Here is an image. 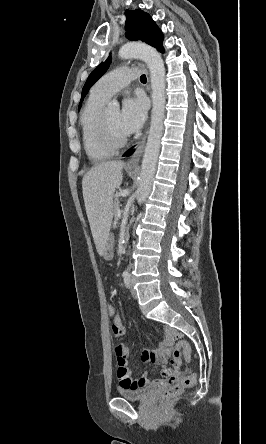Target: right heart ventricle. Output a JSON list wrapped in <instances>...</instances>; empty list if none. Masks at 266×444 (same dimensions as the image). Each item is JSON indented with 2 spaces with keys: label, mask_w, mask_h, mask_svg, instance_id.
<instances>
[{
  "label": "right heart ventricle",
  "mask_w": 266,
  "mask_h": 444,
  "mask_svg": "<svg viewBox=\"0 0 266 444\" xmlns=\"http://www.w3.org/2000/svg\"><path fill=\"white\" fill-rule=\"evenodd\" d=\"M107 100V98L92 91L81 114L80 125L83 147L87 156L93 161L106 160L114 153V150L105 147L97 136L98 120Z\"/></svg>",
  "instance_id": "e07e8e85"
}]
</instances>
